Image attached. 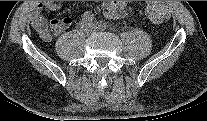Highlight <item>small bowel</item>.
Returning a JSON list of instances; mask_svg holds the SVG:
<instances>
[{
    "label": "small bowel",
    "mask_w": 207,
    "mask_h": 121,
    "mask_svg": "<svg viewBox=\"0 0 207 121\" xmlns=\"http://www.w3.org/2000/svg\"><path fill=\"white\" fill-rule=\"evenodd\" d=\"M61 7V3L54 1H47L37 4L31 14V23L39 35V37L49 42L55 35L61 34L72 24L70 17L62 19H53L48 22L44 17V12L56 11ZM127 9V3L124 1H110L103 4V11L106 17L113 19L120 17Z\"/></svg>",
    "instance_id": "small-bowel-1"
}]
</instances>
